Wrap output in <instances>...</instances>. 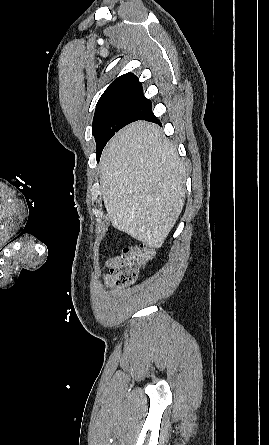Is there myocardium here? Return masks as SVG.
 Returning a JSON list of instances; mask_svg holds the SVG:
<instances>
[{
  "label": "myocardium",
  "instance_id": "f54148a6",
  "mask_svg": "<svg viewBox=\"0 0 269 445\" xmlns=\"http://www.w3.org/2000/svg\"><path fill=\"white\" fill-rule=\"evenodd\" d=\"M12 234L7 235L6 237H4L3 239H0V244L4 243L7 239H9L11 237Z\"/></svg>",
  "mask_w": 269,
  "mask_h": 445
}]
</instances>
